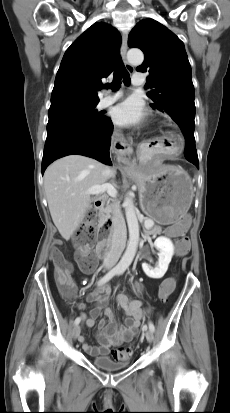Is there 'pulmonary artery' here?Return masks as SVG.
<instances>
[{
    "label": "pulmonary artery",
    "instance_id": "obj_1",
    "mask_svg": "<svg viewBox=\"0 0 230 413\" xmlns=\"http://www.w3.org/2000/svg\"><path fill=\"white\" fill-rule=\"evenodd\" d=\"M132 83L134 85H143L145 83V77L141 73H135L132 76ZM121 96V92H109L104 95L100 100H99V107H106L108 105H111L114 103L116 100H118Z\"/></svg>",
    "mask_w": 230,
    "mask_h": 413
}]
</instances>
